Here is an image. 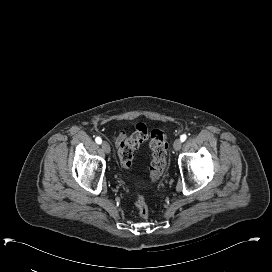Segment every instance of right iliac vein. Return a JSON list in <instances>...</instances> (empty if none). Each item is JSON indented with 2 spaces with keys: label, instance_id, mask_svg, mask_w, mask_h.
I'll list each match as a JSON object with an SVG mask.
<instances>
[{
  "label": "right iliac vein",
  "instance_id": "63e3f726",
  "mask_svg": "<svg viewBox=\"0 0 272 272\" xmlns=\"http://www.w3.org/2000/svg\"><path fill=\"white\" fill-rule=\"evenodd\" d=\"M101 147L105 153H107V154L110 153V145L108 142L103 141L101 144Z\"/></svg>",
  "mask_w": 272,
  "mask_h": 272
}]
</instances>
